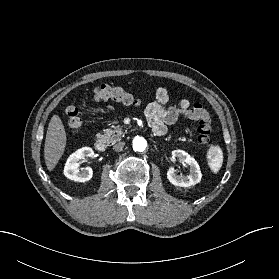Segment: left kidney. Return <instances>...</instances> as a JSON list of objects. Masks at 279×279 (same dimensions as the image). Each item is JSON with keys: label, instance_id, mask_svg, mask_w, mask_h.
<instances>
[{"label": "left kidney", "instance_id": "1", "mask_svg": "<svg viewBox=\"0 0 279 279\" xmlns=\"http://www.w3.org/2000/svg\"><path fill=\"white\" fill-rule=\"evenodd\" d=\"M172 158L178 159L189 165V175L179 176L175 173L174 168H169L167 172V179L174 186L189 187L201 181V171L197 161L183 150L172 151Z\"/></svg>", "mask_w": 279, "mask_h": 279}]
</instances>
